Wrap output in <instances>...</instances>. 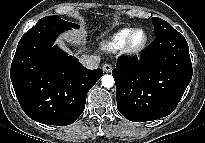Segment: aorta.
<instances>
[{
    "instance_id": "aorta-1",
    "label": "aorta",
    "mask_w": 205,
    "mask_h": 143,
    "mask_svg": "<svg viewBox=\"0 0 205 143\" xmlns=\"http://www.w3.org/2000/svg\"><path fill=\"white\" fill-rule=\"evenodd\" d=\"M102 81V86L105 88H111L115 81L112 75H103V77L101 78Z\"/></svg>"
}]
</instances>
